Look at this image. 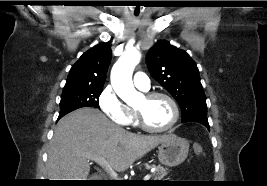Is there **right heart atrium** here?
<instances>
[{
	"instance_id": "right-heart-atrium-1",
	"label": "right heart atrium",
	"mask_w": 267,
	"mask_h": 186,
	"mask_svg": "<svg viewBox=\"0 0 267 186\" xmlns=\"http://www.w3.org/2000/svg\"><path fill=\"white\" fill-rule=\"evenodd\" d=\"M98 105L111 121L122 126L129 124L127 107L117 97L111 86L104 87L100 92Z\"/></svg>"
}]
</instances>
